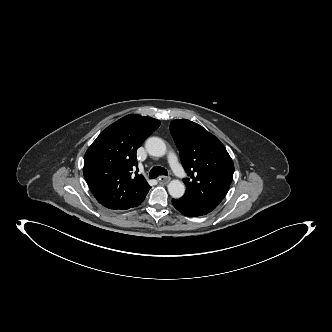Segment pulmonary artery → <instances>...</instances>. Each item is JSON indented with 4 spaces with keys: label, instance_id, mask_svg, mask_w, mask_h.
I'll use <instances>...</instances> for the list:
<instances>
[{
    "label": "pulmonary artery",
    "instance_id": "e3ab8cb5",
    "mask_svg": "<svg viewBox=\"0 0 332 332\" xmlns=\"http://www.w3.org/2000/svg\"><path fill=\"white\" fill-rule=\"evenodd\" d=\"M168 161L169 164L171 166V168L173 169V171L180 177L183 178L185 177V171L182 168V166L180 165L176 155L172 152L169 153L168 155Z\"/></svg>",
    "mask_w": 332,
    "mask_h": 332
}]
</instances>
